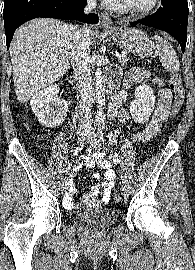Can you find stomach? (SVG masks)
I'll use <instances>...</instances> for the list:
<instances>
[{"label":"stomach","mask_w":195,"mask_h":270,"mask_svg":"<svg viewBox=\"0 0 195 270\" xmlns=\"http://www.w3.org/2000/svg\"><path fill=\"white\" fill-rule=\"evenodd\" d=\"M110 33L114 36L118 46L129 53L147 57L155 49L153 40L142 30L117 28Z\"/></svg>","instance_id":"1"}]
</instances>
